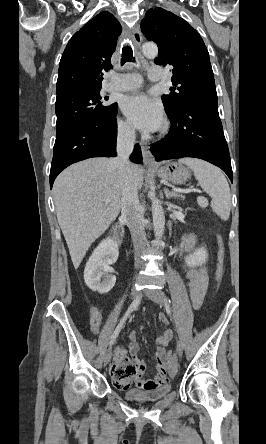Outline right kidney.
<instances>
[{"instance_id":"1","label":"right kidney","mask_w":266,"mask_h":444,"mask_svg":"<svg viewBox=\"0 0 266 444\" xmlns=\"http://www.w3.org/2000/svg\"><path fill=\"white\" fill-rule=\"evenodd\" d=\"M118 255V245L111 238L101 241L93 251L84 270L85 283L91 290L105 294L114 287L116 276L110 265L117 261Z\"/></svg>"}]
</instances>
